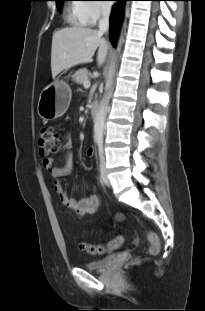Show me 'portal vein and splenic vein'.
<instances>
[{
  "instance_id": "18ae733b",
  "label": "portal vein and splenic vein",
  "mask_w": 205,
  "mask_h": 311,
  "mask_svg": "<svg viewBox=\"0 0 205 311\" xmlns=\"http://www.w3.org/2000/svg\"><path fill=\"white\" fill-rule=\"evenodd\" d=\"M83 85H84L85 88H89L90 87V81L89 80H85Z\"/></svg>"
}]
</instances>
